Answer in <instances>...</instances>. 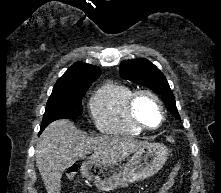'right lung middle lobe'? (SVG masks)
Returning <instances> with one entry per match:
<instances>
[{
	"label": "right lung middle lobe",
	"instance_id": "dd1d6c3e",
	"mask_svg": "<svg viewBox=\"0 0 221 193\" xmlns=\"http://www.w3.org/2000/svg\"><path fill=\"white\" fill-rule=\"evenodd\" d=\"M90 85L53 90L43 115L41 131L57 119H70L82 114V98Z\"/></svg>",
	"mask_w": 221,
	"mask_h": 193
}]
</instances>
